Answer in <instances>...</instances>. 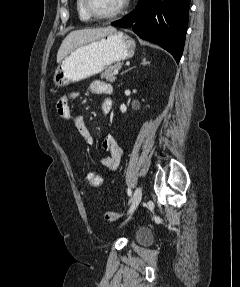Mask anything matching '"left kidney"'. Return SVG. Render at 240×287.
<instances>
[{
    "instance_id": "left-kidney-1",
    "label": "left kidney",
    "mask_w": 240,
    "mask_h": 287,
    "mask_svg": "<svg viewBox=\"0 0 240 287\" xmlns=\"http://www.w3.org/2000/svg\"><path fill=\"white\" fill-rule=\"evenodd\" d=\"M126 106L124 105V104H122L121 106H120V110H121V112L122 113H125L126 112Z\"/></svg>"
}]
</instances>
